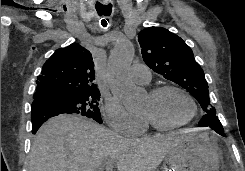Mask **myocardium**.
<instances>
[{
    "label": "myocardium",
    "mask_w": 245,
    "mask_h": 171,
    "mask_svg": "<svg viewBox=\"0 0 245 171\" xmlns=\"http://www.w3.org/2000/svg\"><path fill=\"white\" fill-rule=\"evenodd\" d=\"M168 90H175V91H178L179 93H181L182 95H184L191 105V113L187 119H185L182 122L175 123V124L162 123V122L158 121L151 114L144 113V116L148 120V122L155 129L160 130V131H170V130H175V129H179L181 127H184L187 124H189L196 117L197 112H198V107H197L196 101L193 98V96L187 90H185L184 88H182L178 85L164 84V85L157 86V87H155L149 91V96L152 98H155V97L159 96L160 94H162L163 92L168 91Z\"/></svg>",
    "instance_id": "1"
}]
</instances>
